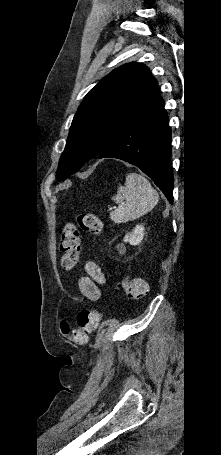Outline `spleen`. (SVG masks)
<instances>
[{"mask_svg": "<svg viewBox=\"0 0 221 455\" xmlns=\"http://www.w3.org/2000/svg\"><path fill=\"white\" fill-rule=\"evenodd\" d=\"M118 208L110 213V219L119 224L133 221L151 211L159 201V195L150 182L138 173L126 176L125 186L119 185L112 197Z\"/></svg>", "mask_w": 221, "mask_h": 455, "instance_id": "1", "label": "spleen"}]
</instances>
